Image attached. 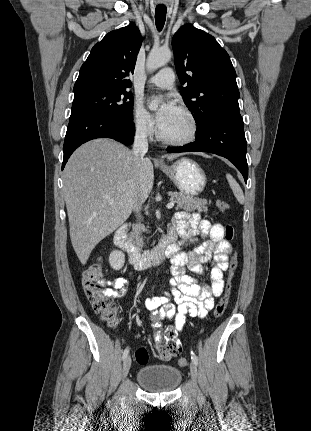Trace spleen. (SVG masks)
<instances>
[{
    "instance_id": "1",
    "label": "spleen",
    "mask_w": 311,
    "mask_h": 431,
    "mask_svg": "<svg viewBox=\"0 0 311 431\" xmlns=\"http://www.w3.org/2000/svg\"><path fill=\"white\" fill-rule=\"evenodd\" d=\"M226 180H227L236 200H238L239 204H244L245 198H244V194H243L239 184H237L236 180H234L233 176H230V174H226Z\"/></svg>"
}]
</instances>
